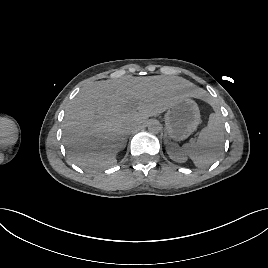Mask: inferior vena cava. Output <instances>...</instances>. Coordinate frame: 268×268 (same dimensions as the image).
I'll return each instance as SVG.
<instances>
[{
    "label": "inferior vena cava",
    "instance_id": "602c4592",
    "mask_svg": "<svg viewBox=\"0 0 268 268\" xmlns=\"http://www.w3.org/2000/svg\"><path fill=\"white\" fill-rule=\"evenodd\" d=\"M136 129L135 126L129 125L126 127V134L131 133L132 131H134Z\"/></svg>",
    "mask_w": 268,
    "mask_h": 268
}]
</instances>
